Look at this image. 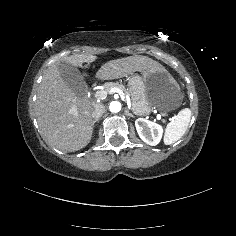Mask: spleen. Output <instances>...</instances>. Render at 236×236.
Segmentation results:
<instances>
[{"label":"spleen","instance_id":"1","mask_svg":"<svg viewBox=\"0 0 236 236\" xmlns=\"http://www.w3.org/2000/svg\"><path fill=\"white\" fill-rule=\"evenodd\" d=\"M191 119V110H181L175 119L167 126L164 143L172 144L179 140L187 130Z\"/></svg>","mask_w":236,"mask_h":236}]
</instances>
